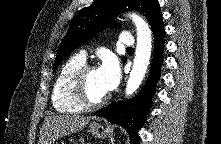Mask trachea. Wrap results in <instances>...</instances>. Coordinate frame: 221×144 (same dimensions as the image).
I'll list each match as a JSON object with an SVG mask.
<instances>
[{
	"label": "trachea",
	"mask_w": 221,
	"mask_h": 144,
	"mask_svg": "<svg viewBox=\"0 0 221 144\" xmlns=\"http://www.w3.org/2000/svg\"><path fill=\"white\" fill-rule=\"evenodd\" d=\"M127 50H132V48L131 47H127Z\"/></svg>",
	"instance_id": "1"
}]
</instances>
